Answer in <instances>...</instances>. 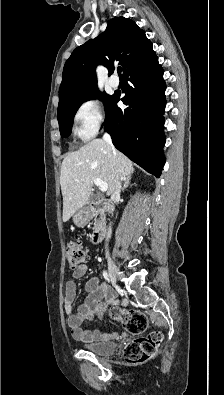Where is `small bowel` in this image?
<instances>
[{
    "label": "small bowel",
    "instance_id": "c3829d8e",
    "mask_svg": "<svg viewBox=\"0 0 224 395\" xmlns=\"http://www.w3.org/2000/svg\"><path fill=\"white\" fill-rule=\"evenodd\" d=\"M86 273L87 266L79 265L73 273V278L66 284L63 306L68 328L72 337L81 342H94L111 338L115 335H108L99 330H87L82 326L85 321L91 320L95 315L102 316L106 303L115 300L114 291L102 285L97 277H92L86 282L84 286L85 300L79 306L77 312H74L73 303L77 293L76 280L84 277ZM103 298H105V302H101Z\"/></svg>",
    "mask_w": 224,
    "mask_h": 395
}]
</instances>
